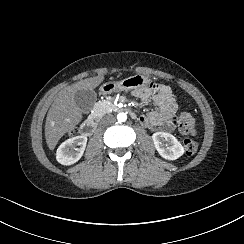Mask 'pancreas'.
<instances>
[{
  "instance_id": "pancreas-1",
  "label": "pancreas",
  "mask_w": 244,
  "mask_h": 244,
  "mask_svg": "<svg viewBox=\"0 0 244 244\" xmlns=\"http://www.w3.org/2000/svg\"><path fill=\"white\" fill-rule=\"evenodd\" d=\"M99 107L105 110V113H108L111 111L112 109V104H111V100H103L99 103Z\"/></svg>"
}]
</instances>
